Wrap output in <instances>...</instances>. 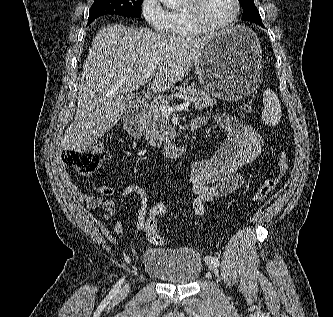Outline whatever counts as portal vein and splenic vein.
Instances as JSON below:
<instances>
[{"instance_id":"1","label":"portal vein and splenic vein","mask_w":333,"mask_h":317,"mask_svg":"<svg viewBox=\"0 0 333 317\" xmlns=\"http://www.w3.org/2000/svg\"><path fill=\"white\" fill-rule=\"evenodd\" d=\"M151 71H153V69H151ZM195 101H196V98L191 97V98H186L185 101L183 103H181L180 105L173 106V107L166 105V104H161L160 111L162 112L163 115H170L171 113H173L175 111L188 109L190 104Z\"/></svg>"}]
</instances>
